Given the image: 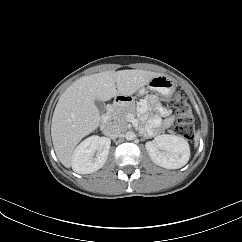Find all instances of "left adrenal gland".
<instances>
[{
    "instance_id": "left-adrenal-gland-1",
    "label": "left adrenal gland",
    "mask_w": 242,
    "mask_h": 242,
    "mask_svg": "<svg viewBox=\"0 0 242 242\" xmlns=\"http://www.w3.org/2000/svg\"><path fill=\"white\" fill-rule=\"evenodd\" d=\"M144 138H148L147 136H146V134L143 136Z\"/></svg>"
}]
</instances>
